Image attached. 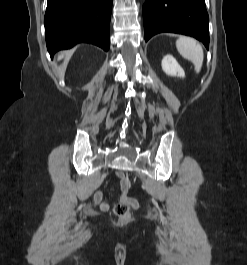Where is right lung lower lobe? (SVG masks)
I'll return each mask as SVG.
<instances>
[{"instance_id": "right-lung-lower-lobe-1", "label": "right lung lower lobe", "mask_w": 247, "mask_h": 265, "mask_svg": "<svg viewBox=\"0 0 247 265\" xmlns=\"http://www.w3.org/2000/svg\"><path fill=\"white\" fill-rule=\"evenodd\" d=\"M112 0H47L44 17L51 56L80 42L109 50Z\"/></svg>"}]
</instances>
